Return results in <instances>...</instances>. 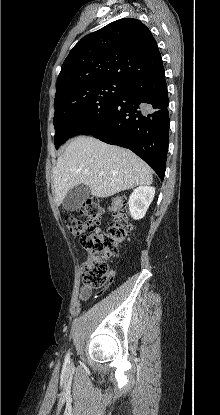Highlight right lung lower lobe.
I'll return each mask as SVG.
<instances>
[{
	"label": "right lung lower lobe",
	"instance_id": "obj_1",
	"mask_svg": "<svg viewBox=\"0 0 220 415\" xmlns=\"http://www.w3.org/2000/svg\"><path fill=\"white\" fill-rule=\"evenodd\" d=\"M168 104L162 67L127 83L105 123L91 135L105 143L129 148L163 180L169 142Z\"/></svg>",
	"mask_w": 220,
	"mask_h": 415
}]
</instances>
